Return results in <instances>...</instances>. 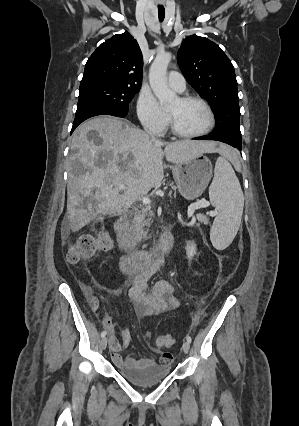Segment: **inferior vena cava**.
<instances>
[{
    "label": "inferior vena cava",
    "instance_id": "inferior-vena-cava-1",
    "mask_svg": "<svg viewBox=\"0 0 299 426\" xmlns=\"http://www.w3.org/2000/svg\"><path fill=\"white\" fill-rule=\"evenodd\" d=\"M149 134L151 135V138H152L153 141H158L152 133H149Z\"/></svg>",
    "mask_w": 299,
    "mask_h": 426
}]
</instances>
